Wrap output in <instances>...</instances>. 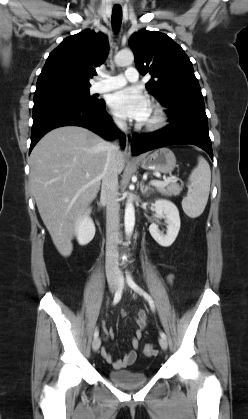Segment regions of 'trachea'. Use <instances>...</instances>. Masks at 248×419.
<instances>
[{"mask_svg":"<svg viewBox=\"0 0 248 419\" xmlns=\"http://www.w3.org/2000/svg\"><path fill=\"white\" fill-rule=\"evenodd\" d=\"M122 21V8L121 6H114L112 9V25L115 31H118Z\"/></svg>","mask_w":248,"mask_h":419,"instance_id":"1","label":"trachea"}]
</instances>
